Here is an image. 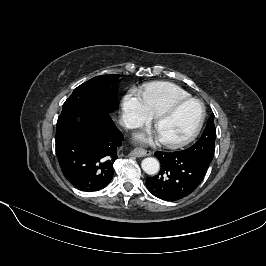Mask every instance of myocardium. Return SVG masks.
Returning a JSON list of instances; mask_svg holds the SVG:
<instances>
[{"instance_id":"f54148a6","label":"myocardium","mask_w":266,"mask_h":266,"mask_svg":"<svg viewBox=\"0 0 266 266\" xmlns=\"http://www.w3.org/2000/svg\"><path fill=\"white\" fill-rule=\"evenodd\" d=\"M190 103H197L202 108V114H201L200 120H199L196 128L188 136H186L182 139H179V140H161V142L165 146H167L169 148H180V147H183V146L189 144L190 142H192L199 135V133H200V131L204 125V122L206 119V107L201 100L190 97L187 99L179 100V101L171 104L170 106H168L167 108L163 109L162 111H160L158 114L155 115L154 126H155V128H157V126L160 124L161 121H163L167 117L173 115L180 108H182L183 106L190 104Z\"/></svg>"}]
</instances>
